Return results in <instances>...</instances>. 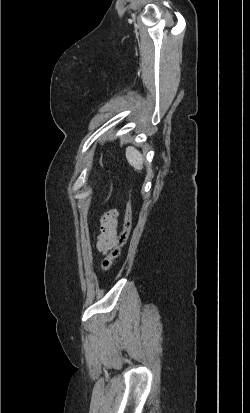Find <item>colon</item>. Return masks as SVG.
Segmentation results:
<instances>
[{
	"instance_id": "obj_1",
	"label": "colon",
	"mask_w": 250,
	"mask_h": 413,
	"mask_svg": "<svg viewBox=\"0 0 250 413\" xmlns=\"http://www.w3.org/2000/svg\"><path fill=\"white\" fill-rule=\"evenodd\" d=\"M132 227V203H131V194H129V200L126 205L125 216H124V223L123 229L119 236L117 237L116 244L109 252V254L105 257L102 262V268L104 271H109L114 264V261L119 257L121 253V249L127 243L130 231Z\"/></svg>"
}]
</instances>
